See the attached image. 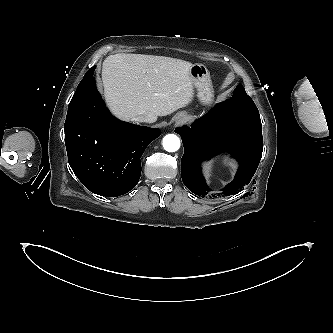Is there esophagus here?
<instances>
[{"instance_id": "1", "label": "esophagus", "mask_w": 333, "mask_h": 333, "mask_svg": "<svg viewBox=\"0 0 333 333\" xmlns=\"http://www.w3.org/2000/svg\"><path fill=\"white\" fill-rule=\"evenodd\" d=\"M184 121V118H180L177 122H176V125L182 123Z\"/></svg>"}]
</instances>
